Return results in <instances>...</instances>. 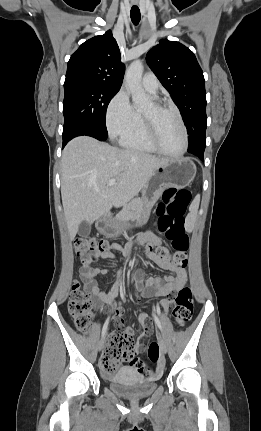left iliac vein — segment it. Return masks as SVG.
Segmentation results:
<instances>
[{"mask_svg": "<svg viewBox=\"0 0 261 431\" xmlns=\"http://www.w3.org/2000/svg\"><path fill=\"white\" fill-rule=\"evenodd\" d=\"M159 345H160V348L163 351V353L166 354L168 349H167L166 342L162 336H159Z\"/></svg>", "mask_w": 261, "mask_h": 431, "instance_id": "left-iliac-vein-1", "label": "left iliac vein"}]
</instances>
